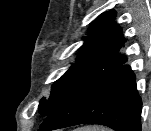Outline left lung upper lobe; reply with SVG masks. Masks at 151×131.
I'll return each mask as SVG.
<instances>
[{
  "label": "left lung upper lobe",
  "instance_id": "left-lung-upper-lobe-1",
  "mask_svg": "<svg viewBox=\"0 0 151 131\" xmlns=\"http://www.w3.org/2000/svg\"><path fill=\"white\" fill-rule=\"evenodd\" d=\"M114 10L100 15L88 30L89 37L79 51V58L69 70L52 86L49 97L39 103V113L48 116L62 102L65 94L89 69H106L122 65L127 61L119 54L124 45L121 28L114 22Z\"/></svg>",
  "mask_w": 151,
  "mask_h": 131
}]
</instances>
